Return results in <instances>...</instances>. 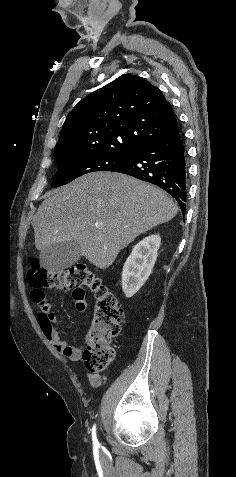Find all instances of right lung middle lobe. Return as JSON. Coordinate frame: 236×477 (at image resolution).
<instances>
[{
    "label": "right lung middle lobe",
    "instance_id": "dd1d6c3e",
    "mask_svg": "<svg viewBox=\"0 0 236 477\" xmlns=\"http://www.w3.org/2000/svg\"><path fill=\"white\" fill-rule=\"evenodd\" d=\"M128 160V156L99 153L84 154L70 158H57L55 161L59 170L51 186L65 185L91 172L112 171L125 164Z\"/></svg>",
    "mask_w": 236,
    "mask_h": 477
}]
</instances>
